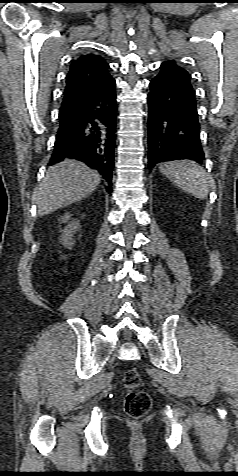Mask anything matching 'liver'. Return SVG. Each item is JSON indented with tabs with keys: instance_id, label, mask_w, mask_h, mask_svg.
<instances>
[{
	"instance_id": "6515ba94",
	"label": "liver",
	"mask_w": 238,
	"mask_h": 476,
	"mask_svg": "<svg viewBox=\"0 0 238 476\" xmlns=\"http://www.w3.org/2000/svg\"><path fill=\"white\" fill-rule=\"evenodd\" d=\"M100 181V174L80 161L66 159L50 167L33 194L38 215H47L84 199Z\"/></svg>"
}]
</instances>
